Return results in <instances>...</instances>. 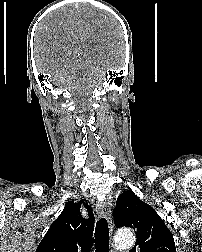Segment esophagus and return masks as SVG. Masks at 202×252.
I'll use <instances>...</instances> for the list:
<instances>
[{"label": "esophagus", "mask_w": 202, "mask_h": 252, "mask_svg": "<svg viewBox=\"0 0 202 252\" xmlns=\"http://www.w3.org/2000/svg\"><path fill=\"white\" fill-rule=\"evenodd\" d=\"M96 212L99 217H106L109 223V228L113 230L112 218L110 208L102 202L96 203Z\"/></svg>", "instance_id": "34e87169"}]
</instances>
